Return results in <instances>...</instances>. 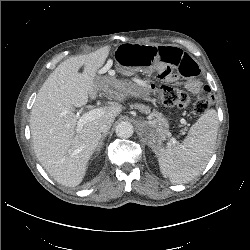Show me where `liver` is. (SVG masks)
Listing matches in <instances>:
<instances>
[{"label": "liver", "instance_id": "6515ba94", "mask_svg": "<svg viewBox=\"0 0 250 250\" xmlns=\"http://www.w3.org/2000/svg\"><path fill=\"white\" fill-rule=\"evenodd\" d=\"M110 47L79 55L62 62L39 90L30 116L34 152L44 169L58 183L78 186L86 173L88 161L101 139L99 124L114 120L122 111L120 105H108L103 114L75 128V107L96 98L98 71L105 63ZM84 66L83 73L79 69Z\"/></svg>", "mask_w": 250, "mask_h": 250}]
</instances>
